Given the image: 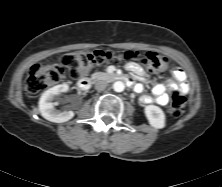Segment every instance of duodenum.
Instances as JSON below:
<instances>
[{
	"mask_svg": "<svg viewBox=\"0 0 222 187\" xmlns=\"http://www.w3.org/2000/svg\"><path fill=\"white\" fill-rule=\"evenodd\" d=\"M101 78L100 76H96L95 79H99ZM106 78L115 80V81H122L125 82L129 85H131L133 83V79L129 76V75H124V74H120V73H109ZM91 80L90 79H83L78 83V88L81 91H86L90 88L91 86Z\"/></svg>",
	"mask_w": 222,
	"mask_h": 187,
	"instance_id": "duodenum-1",
	"label": "duodenum"
}]
</instances>
